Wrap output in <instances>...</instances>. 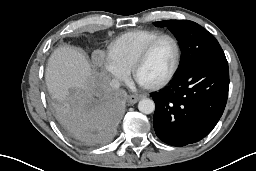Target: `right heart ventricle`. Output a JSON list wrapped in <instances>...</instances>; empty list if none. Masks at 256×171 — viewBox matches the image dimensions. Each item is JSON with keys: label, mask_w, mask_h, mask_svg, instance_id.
<instances>
[{"label": "right heart ventricle", "mask_w": 256, "mask_h": 171, "mask_svg": "<svg viewBox=\"0 0 256 171\" xmlns=\"http://www.w3.org/2000/svg\"><path fill=\"white\" fill-rule=\"evenodd\" d=\"M161 33L153 30H133L116 38L108 47V56L130 70L142 49Z\"/></svg>", "instance_id": "obj_1"}]
</instances>
